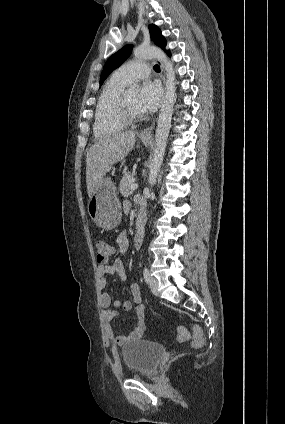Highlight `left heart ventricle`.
<instances>
[{"instance_id": "obj_1", "label": "left heart ventricle", "mask_w": 285, "mask_h": 424, "mask_svg": "<svg viewBox=\"0 0 285 424\" xmlns=\"http://www.w3.org/2000/svg\"><path fill=\"white\" fill-rule=\"evenodd\" d=\"M124 96H125V100L129 110L135 115H141L137 109V97H138L137 94L130 93V94H125Z\"/></svg>"}]
</instances>
